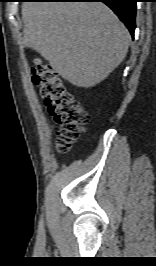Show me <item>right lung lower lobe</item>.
Listing matches in <instances>:
<instances>
[{
    "instance_id": "98d812e1",
    "label": "right lung lower lobe",
    "mask_w": 156,
    "mask_h": 266,
    "mask_svg": "<svg viewBox=\"0 0 156 266\" xmlns=\"http://www.w3.org/2000/svg\"><path fill=\"white\" fill-rule=\"evenodd\" d=\"M50 2H103L109 6L129 29L132 37L135 30L137 0H35Z\"/></svg>"
}]
</instances>
